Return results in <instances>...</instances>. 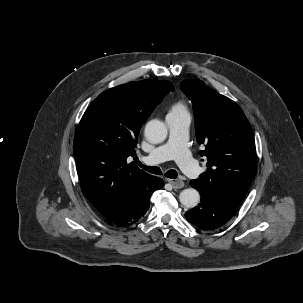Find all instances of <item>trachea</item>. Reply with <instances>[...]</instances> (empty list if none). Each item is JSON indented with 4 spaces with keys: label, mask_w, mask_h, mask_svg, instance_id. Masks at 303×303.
Instances as JSON below:
<instances>
[{
    "label": "trachea",
    "mask_w": 303,
    "mask_h": 303,
    "mask_svg": "<svg viewBox=\"0 0 303 303\" xmlns=\"http://www.w3.org/2000/svg\"><path fill=\"white\" fill-rule=\"evenodd\" d=\"M134 164L138 165L139 167H141L142 169H144L145 171H147L149 173L156 174V175H162V171L159 167L143 165L138 159L135 160ZM165 176L167 178L175 179V178H177L178 173L176 170L171 169L165 173Z\"/></svg>",
    "instance_id": "3493384b"
}]
</instances>
